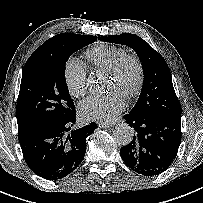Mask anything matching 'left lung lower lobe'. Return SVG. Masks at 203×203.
<instances>
[{"instance_id":"obj_1","label":"left lung lower lobe","mask_w":203,"mask_h":203,"mask_svg":"<svg viewBox=\"0 0 203 203\" xmlns=\"http://www.w3.org/2000/svg\"><path fill=\"white\" fill-rule=\"evenodd\" d=\"M126 123L134 138L120 150L123 161L144 176L161 174L172 164L181 141V115L148 117L129 113Z\"/></svg>"}]
</instances>
